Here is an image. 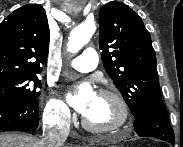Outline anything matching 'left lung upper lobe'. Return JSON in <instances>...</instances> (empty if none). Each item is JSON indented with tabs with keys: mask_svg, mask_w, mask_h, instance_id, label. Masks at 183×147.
I'll return each instance as SVG.
<instances>
[{
	"mask_svg": "<svg viewBox=\"0 0 183 147\" xmlns=\"http://www.w3.org/2000/svg\"><path fill=\"white\" fill-rule=\"evenodd\" d=\"M99 47L104 68L121 92L131 113H165L156 54L151 37L136 12L121 2L99 10Z\"/></svg>",
	"mask_w": 183,
	"mask_h": 147,
	"instance_id": "1",
	"label": "left lung upper lobe"
}]
</instances>
